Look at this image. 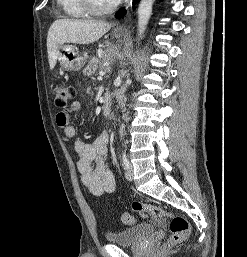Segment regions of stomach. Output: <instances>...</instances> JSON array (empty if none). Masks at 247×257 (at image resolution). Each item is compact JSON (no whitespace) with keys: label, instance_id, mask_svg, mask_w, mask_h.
<instances>
[{"label":"stomach","instance_id":"1","mask_svg":"<svg viewBox=\"0 0 247 257\" xmlns=\"http://www.w3.org/2000/svg\"><path fill=\"white\" fill-rule=\"evenodd\" d=\"M123 33H113V38L120 39L123 37ZM62 52L59 53L58 61L59 65L66 71H78L86 63V57L79 53L76 46L64 45L61 47ZM116 56L122 58L123 53H116Z\"/></svg>","mask_w":247,"mask_h":257}]
</instances>
